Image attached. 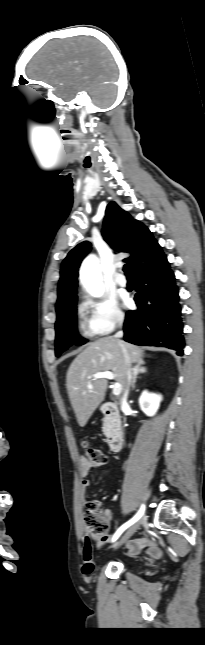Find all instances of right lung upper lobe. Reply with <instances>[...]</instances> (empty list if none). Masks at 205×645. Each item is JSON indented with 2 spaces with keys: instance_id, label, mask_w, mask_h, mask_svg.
Masks as SVG:
<instances>
[{
  "instance_id": "right-lung-upper-lobe-1",
  "label": "right lung upper lobe",
  "mask_w": 205,
  "mask_h": 645,
  "mask_svg": "<svg viewBox=\"0 0 205 645\" xmlns=\"http://www.w3.org/2000/svg\"><path fill=\"white\" fill-rule=\"evenodd\" d=\"M102 234L115 250L132 254L127 261L132 263L134 272L164 254L152 233L114 202L107 206ZM90 249L91 244L84 241L73 248L62 262L57 314L76 300L77 271Z\"/></svg>"
}]
</instances>
